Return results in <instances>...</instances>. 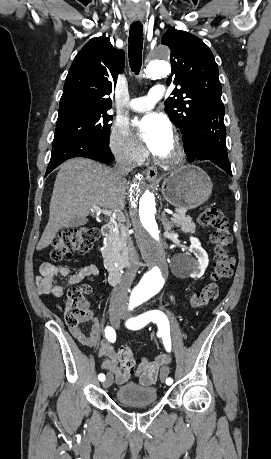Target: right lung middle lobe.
<instances>
[{
    "label": "right lung middle lobe",
    "instance_id": "right-lung-middle-lobe-1",
    "mask_svg": "<svg viewBox=\"0 0 271 459\" xmlns=\"http://www.w3.org/2000/svg\"><path fill=\"white\" fill-rule=\"evenodd\" d=\"M112 120L106 111L74 110L59 112L53 145L73 138L106 141Z\"/></svg>",
    "mask_w": 271,
    "mask_h": 459
}]
</instances>
